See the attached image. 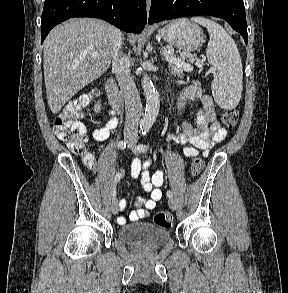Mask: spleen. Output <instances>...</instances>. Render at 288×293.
Here are the masks:
<instances>
[{"label": "spleen", "mask_w": 288, "mask_h": 293, "mask_svg": "<svg viewBox=\"0 0 288 293\" xmlns=\"http://www.w3.org/2000/svg\"><path fill=\"white\" fill-rule=\"evenodd\" d=\"M191 20L206 27L209 33L206 55L208 62L217 71L211 85L213 97L220 107L235 108L243 88L242 62L237 45L215 21L205 17H193Z\"/></svg>", "instance_id": "3e777b00"}]
</instances>
